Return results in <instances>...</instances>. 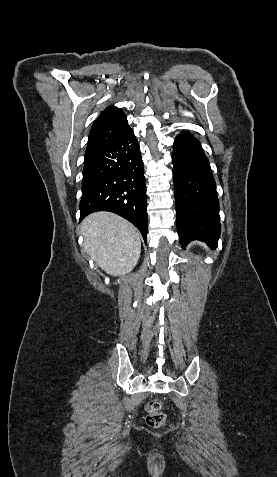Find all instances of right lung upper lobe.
I'll use <instances>...</instances> for the list:
<instances>
[{
	"label": "right lung upper lobe",
	"instance_id": "cb5924a9",
	"mask_svg": "<svg viewBox=\"0 0 277 477\" xmlns=\"http://www.w3.org/2000/svg\"><path fill=\"white\" fill-rule=\"evenodd\" d=\"M129 128L126 115L120 108L113 105L107 107L101 112L90 130L85 154L111 144Z\"/></svg>",
	"mask_w": 277,
	"mask_h": 477
}]
</instances>
